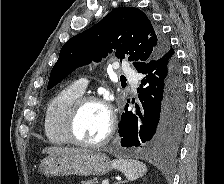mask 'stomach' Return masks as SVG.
Wrapping results in <instances>:
<instances>
[{"instance_id":"obj_1","label":"stomach","mask_w":224,"mask_h":184,"mask_svg":"<svg viewBox=\"0 0 224 184\" xmlns=\"http://www.w3.org/2000/svg\"><path fill=\"white\" fill-rule=\"evenodd\" d=\"M40 171L47 177L105 175L113 169L104 153L80 151L72 154L49 156L41 161Z\"/></svg>"}]
</instances>
